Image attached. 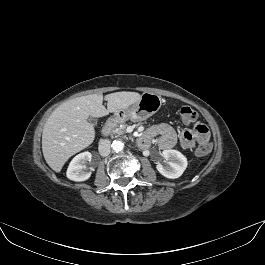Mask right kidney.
<instances>
[{"instance_id":"ca27d5eb","label":"right kidney","mask_w":265,"mask_h":265,"mask_svg":"<svg viewBox=\"0 0 265 265\" xmlns=\"http://www.w3.org/2000/svg\"><path fill=\"white\" fill-rule=\"evenodd\" d=\"M92 154L90 152H82L76 155L70 162L66 175L68 179L73 181H85L90 178L91 171L87 169V163L91 161Z\"/></svg>"}]
</instances>
